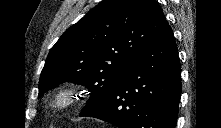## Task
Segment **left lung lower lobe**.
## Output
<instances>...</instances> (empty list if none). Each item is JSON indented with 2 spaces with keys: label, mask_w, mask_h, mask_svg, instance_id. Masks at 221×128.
Instances as JSON below:
<instances>
[{
  "label": "left lung lower lobe",
  "mask_w": 221,
  "mask_h": 128,
  "mask_svg": "<svg viewBox=\"0 0 221 128\" xmlns=\"http://www.w3.org/2000/svg\"><path fill=\"white\" fill-rule=\"evenodd\" d=\"M181 69L168 25L139 54L111 95L80 116L118 128H174L181 97Z\"/></svg>",
  "instance_id": "0a47b994"
}]
</instances>
